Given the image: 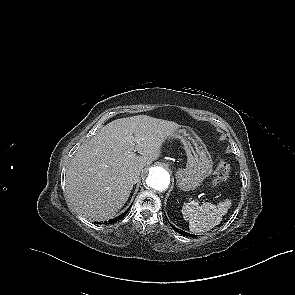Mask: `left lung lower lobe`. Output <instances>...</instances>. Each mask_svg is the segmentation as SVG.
I'll return each mask as SVG.
<instances>
[{"instance_id":"obj_1","label":"left lung lower lobe","mask_w":295,"mask_h":295,"mask_svg":"<svg viewBox=\"0 0 295 295\" xmlns=\"http://www.w3.org/2000/svg\"><path fill=\"white\" fill-rule=\"evenodd\" d=\"M171 226H172V228L176 231V232H178V233H180V234H182L183 236H189V237H191L192 235L191 234H189V233H186V232H184V231H182V230H179V229H177L176 227H174L172 224H170ZM193 236H195V235H193Z\"/></svg>"}]
</instances>
